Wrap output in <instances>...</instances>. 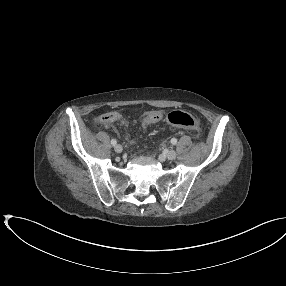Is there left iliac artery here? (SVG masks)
Wrapping results in <instances>:
<instances>
[{
  "mask_svg": "<svg viewBox=\"0 0 286 286\" xmlns=\"http://www.w3.org/2000/svg\"><path fill=\"white\" fill-rule=\"evenodd\" d=\"M171 143H172L173 145H175V144L177 143V139L172 138V139H171Z\"/></svg>",
  "mask_w": 286,
  "mask_h": 286,
  "instance_id": "1",
  "label": "left iliac artery"
}]
</instances>
